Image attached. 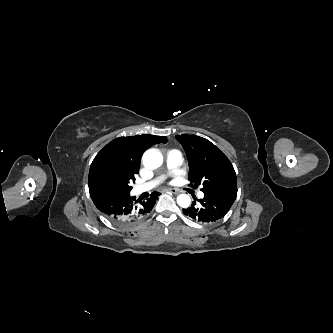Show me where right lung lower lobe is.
<instances>
[{"instance_id":"right-lung-lower-lobe-1","label":"right lung lower lobe","mask_w":333,"mask_h":333,"mask_svg":"<svg viewBox=\"0 0 333 333\" xmlns=\"http://www.w3.org/2000/svg\"><path fill=\"white\" fill-rule=\"evenodd\" d=\"M89 192L99 211L111 222L120 226H132L144 219L160 195L158 192H153L146 201L137 204L138 201L134 202L130 193L102 187H93Z\"/></svg>"}]
</instances>
